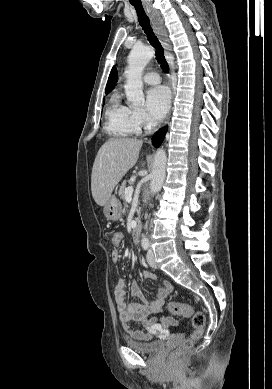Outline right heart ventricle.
Instances as JSON below:
<instances>
[{
    "mask_svg": "<svg viewBox=\"0 0 272 389\" xmlns=\"http://www.w3.org/2000/svg\"><path fill=\"white\" fill-rule=\"evenodd\" d=\"M105 118V129L113 137L124 138L138 132L133 119V109L122 102L119 93L111 96Z\"/></svg>",
    "mask_w": 272,
    "mask_h": 389,
    "instance_id": "e07e8e85",
    "label": "right heart ventricle"
}]
</instances>
